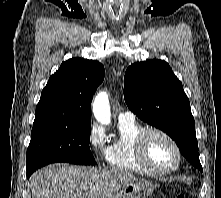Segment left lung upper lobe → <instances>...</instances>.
I'll return each instance as SVG.
<instances>
[{
  "instance_id": "5c2ea615",
  "label": "left lung upper lobe",
  "mask_w": 221,
  "mask_h": 198,
  "mask_svg": "<svg viewBox=\"0 0 221 198\" xmlns=\"http://www.w3.org/2000/svg\"><path fill=\"white\" fill-rule=\"evenodd\" d=\"M124 99L140 119L167 133L183 156L202 171L190 102L167 62L153 59L129 66Z\"/></svg>"
}]
</instances>
